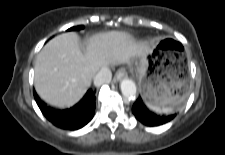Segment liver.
I'll return each instance as SVG.
<instances>
[{
  "label": "liver",
  "mask_w": 225,
  "mask_h": 155,
  "mask_svg": "<svg viewBox=\"0 0 225 155\" xmlns=\"http://www.w3.org/2000/svg\"><path fill=\"white\" fill-rule=\"evenodd\" d=\"M153 48L148 42H136L126 32L109 31L91 36L83 51L76 33L60 34L36 58L35 90L52 106H73L84 96L100 68L123 63L132 55L145 59Z\"/></svg>",
  "instance_id": "liver-1"
}]
</instances>
